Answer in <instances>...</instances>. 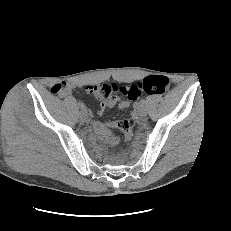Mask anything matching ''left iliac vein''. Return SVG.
<instances>
[{
  "mask_svg": "<svg viewBox=\"0 0 231 231\" xmlns=\"http://www.w3.org/2000/svg\"><path fill=\"white\" fill-rule=\"evenodd\" d=\"M139 115L141 116V117H145L146 115H147V110H146V108L144 107V108H141L140 107V109H139Z\"/></svg>",
  "mask_w": 231,
  "mask_h": 231,
  "instance_id": "obj_1",
  "label": "left iliac vein"
}]
</instances>
